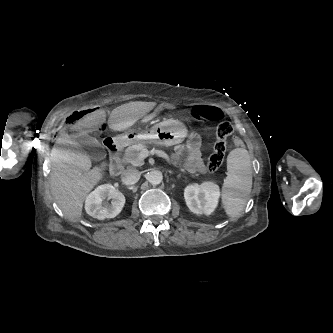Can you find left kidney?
Returning a JSON list of instances; mask_svg holds the SVG:
<instances>
[{"label": "left kidney", "mask_w": 333, "mask_h": 333, "mask_svg": "<svg viewBox=\"0 0 333 333\" xmlns=\"http://www.w3.org/2000/svg\"><path fill=\"white\" fill-rule=\"evenodd\" d=\"M219 186L214 182L192 184L185 188L184 198L188 208L196 214L210 215L217 207Z\"/></svg>", "instance_id": "5707ae66"}]
</instances>
